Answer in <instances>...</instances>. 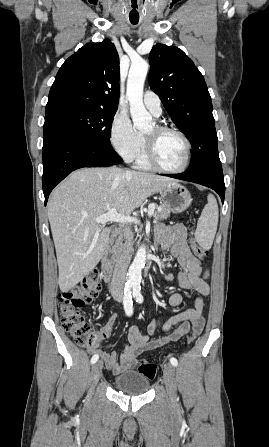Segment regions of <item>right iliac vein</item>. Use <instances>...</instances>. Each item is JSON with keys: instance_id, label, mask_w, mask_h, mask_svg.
<instances>
[{"instance_id": "obj_1", "label": "right iliac vein", "mask_w": 269, "mask_h": 447, "mask_svg": "<svg viewBox=\"0 0 269 447\" xmlns=\"http://www.w3.org/2000/svg\"><path fill=\"white\" fill-rule=\"evenodd\" d=\"M102 366H103V362L102 361H98L92 367V371H91V379H92L91 391L93 389V385L98 382V380H99V378L101 376ZM90 394H91V392H90Z\"/></svg>"}]
</instances>
